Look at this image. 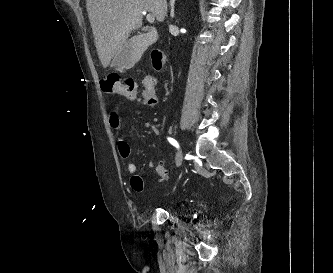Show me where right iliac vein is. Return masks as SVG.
I'll return each mask as SVG.
<instances>
[{
    "mask_svg": "<svg viewBox=\"0 0 333 273\" xmlns=\"http://www.w3.org/2000/svg\"><path fill=\"white\" fill-rule=\"evenodd\" d=\"M183 161V154H182V150H179L176 154V166L179 167L181 166Z\"/></svg>",
    "mask_w": 333,
    "mask_h": 273,
    "instance_id": "obj_1",
    "label": "right iliac vein"
}]
</instances>
